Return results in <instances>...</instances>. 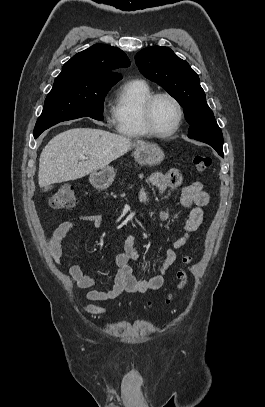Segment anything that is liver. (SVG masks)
<instances>
[{
    "mask_svg": "<svg viewBox=\"0 0 265 407\" xmlns=\"http://www.w3.org/2000/svg\"><path fill=\"white\" fill-rule=\"evenodd\" d=\"M145 142L92 128H74L53 137L39 159L38 183L46 187L82 178L108 166L132 147ZM88 160L81 161L80 156Z\"/></svg>",
    "mask_w": 265,
    "mask_h": 407,
    "instance_id": "liver-1",
    "label": "liver"
}]
</instances>
